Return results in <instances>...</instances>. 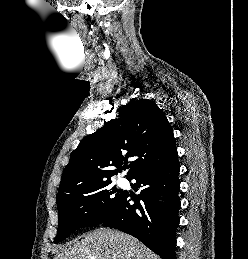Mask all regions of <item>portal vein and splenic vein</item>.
Masks as SVG:
<instances>
[{"mask_svg": "<svg viewBox=\"0 0 248 259\" xmlns=\"http://www.w3.org/2000/svg\"><path fill=\"white\" fill-rule=\"evenodd\" d=\"M92 259H97L96 257H93Z\"/></svg>", "mask_w": 248, "mask_h": 259, "instance_id": "18ae733b", "label": "portal vein and splenic vein"}]
</instances>
